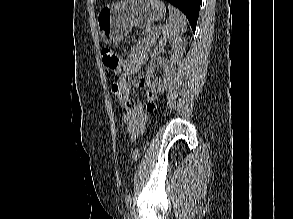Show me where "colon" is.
<instances>
[{"mask_svg":"<svg viewBox=\"0 0 293 219\" xmlns=\"http://www.w3.org/2000/svg\"><path fill=\"white\" fill-rule=\"evenodd\" d=\"M101 56L106 73L109 75L117 74L120 68V59L117 53L111 49L105 48L102 50ZM139 156L140 151L136 146L131 153V160L137 161Z\"/></svg>","mask_w":293,"mask_h":219,"instance_id":"1","label":"colon"}]
</instances>
